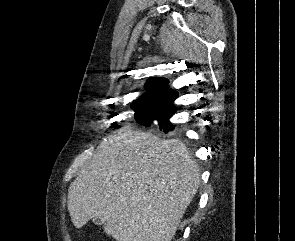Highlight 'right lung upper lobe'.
Here are the masks:
<instances>
[{"instance_id":"right-lung-upper-lobe-1","label":"right lung upper lobe","mask_w":295,"mask_h":241,"mask_svg":"<svg viewBox=\"0 0 295 241\" xmlns=\"http://www.w3.org/2000/svg\"><path fill=\"white\" fill-rule=\"evenodd\" d=\"M167 84L168 81L164 78H150L145 84L148 91L131 106L147 112L172 116L175 112L173 102L179 95L168 88Z\"/></svg>"}]
</instances>
